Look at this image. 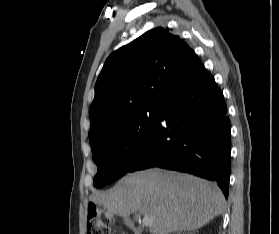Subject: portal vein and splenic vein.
Listing matches in <instances>:
<instances>
[{
  "label": "portal vein and splenic vein",
  "mask_w": 279,
  "mask_h": 234,
  "mask_svg": "<svg viewBox=\"0 0 279 234\" xmlns=\"http://www.w3.org/2000/svg\"><path fill=\"white\" fill-rule=\"evenodd\" d=\"M142 223L145 226H149L150 224H152V219L148 216H144L142 219Z\"/></svg>",
  "instance_id": "obj_1"
}]
</instances>
